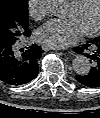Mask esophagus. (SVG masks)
Instances as JSON below:
<instances>
[{"mask_svg": "<svg viewBox=\"0 0 100 118\" xmlns=\"http://www.w3.org/2000/svg\"><path fill=\"white\" fill-rule=\"evenodd\" d=\"M42 49L45 50V51H50V50H59L55 47H52V46H49V45H46V44H43L42 45ZM71 53V51H69Z\"/></svg>", "mask_w": 100, "mask_h": 118, "instance_id": "1", "label": "esophagus"}]
</instances>
